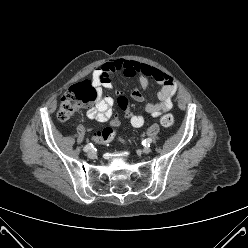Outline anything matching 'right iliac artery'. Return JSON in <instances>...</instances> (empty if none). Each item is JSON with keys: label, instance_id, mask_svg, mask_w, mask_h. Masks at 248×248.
<instances>
[{"label": "right iliac artery", "instance_id": "82829eb1", "mask_svg": "<svg viewBox=\"0 0 248 248\" xmlns=\"http://www.w3.org/2000/svg\"><path fill=\"white\" fill-rule=\"evenodd\" d=\"M92 147H93V144H92V143H89V144H87V145L83 148V150H84V152H88Z\"/></svg>", "mask_w": 248, "mask_h": 248}]
</instances>
